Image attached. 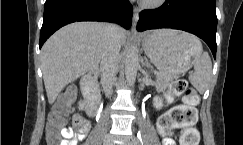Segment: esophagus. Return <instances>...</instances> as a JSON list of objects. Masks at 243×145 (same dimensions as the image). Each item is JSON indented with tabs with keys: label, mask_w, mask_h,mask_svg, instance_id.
Here are the masks:
<instances>
[{
	"label": "esophagus",
	"mask_w": 243,
	"mask_h": 145,
	"mask_svg": "<svg viewBox=\"0 0 243 145\" xmlns=\"http://www.w3.org/2000/svg\"><path fill=\"white\" fill-rule=\"evenodd\" d=\"M138 21V9L136 7L133 8V16H132V30L136 31Z\"/></svg>",
	"instance_id": "esophagus-1"
}]
</instances>
